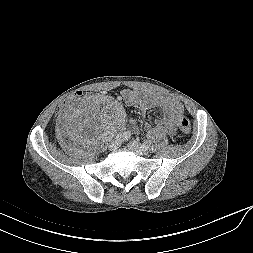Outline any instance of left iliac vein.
<instances>
[{
	"mask_svg": "<svg viewBox=\"0 0 253 253\" xmlns=\"http://www.w3.org/2000/svg\"><path fill=\"white\" fill-rule=\"evenodd\" d=\"M127 146L130 151L137 155H146L148 153V148L137 141H130Z\"/></svg>",
	"mask_w": 253,
	"mask_h": 253,
	"instance_id": "1",
	"label": "left iliac vein"
}]
</instances>
